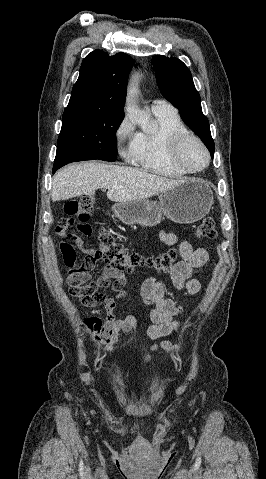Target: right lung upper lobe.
I'll list each match as a JSON object with an SVG mask.
<instances>
[{"label":"right lung upper lobe","mask_w":266,"mask_h":479,"mask_svg":"<svg viewBox=\"0 0 266 479\" xmlns=\"http://www.w3.org/2000/svg\"><path fill=\"white\" fill-rule=\"evenodd\" d=\"M132 58L125 53L109 56L94 50L81 65L80 75L74 84L66 115L124 116L126 83Z\"/></svg>","instance_id":"obj_1"}]
</instances>
